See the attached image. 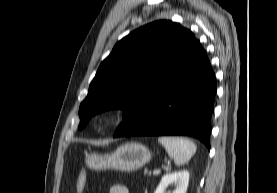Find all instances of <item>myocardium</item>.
<instances>
[{"label":"myocardium","mask_w":277,"mask_h":193,"mask_svg":"<svg viewBox=\"0 0 277 193\" xmlns=\"http://www.w3.org/2000/svg\"><path fill=\"white\" fill-rule=\"evenodd\" d=\"M125 119V113L119 108L102 110L95 117L96 124L101 128H113Z\"/></svg>","instance_id":"obj_1"}]
</instances>
